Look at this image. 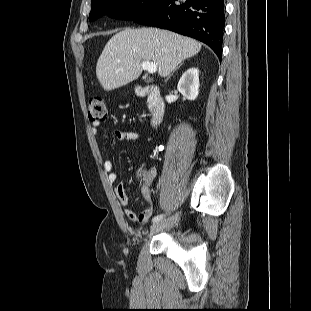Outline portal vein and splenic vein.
I'll use <instances>...</instances> for the list:
<instances>
[{
	"instance_id": "18ae733b",
	"label": "portal vein and splenic vein",
	"mask_w": 311,
	"mask_h": 311,
	"mask_svg": "<svg viewBox=\"0 0 311 311\" xmlns=\"http://www.w3.org/2000/svg\"><path fill=\"white\" fill-rule=\"evenodd\" d=\"M142 69L148 71V73L153 74L157 71V65L150 61H143L141 63Z\"/></svg>"
}]
</instances>
